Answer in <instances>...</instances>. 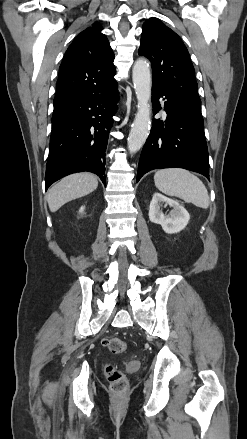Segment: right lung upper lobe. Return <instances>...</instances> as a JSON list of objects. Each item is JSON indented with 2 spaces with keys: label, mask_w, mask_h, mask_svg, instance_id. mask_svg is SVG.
I'll list each match as a JSON object with an SVG mask.
<instances>
[{
  "label": "right lung upper lobe",
  "mask_w": 247,
  "mask_h": 439,
  "mask_svg": "<svg viewBox=\"0 0 247 439\" xmlns=\"http://www.w3.org/2000/svg\"><path fill=\"white\" fill-rule=\"evenodd\" d=\"M102 27L93 24L82 31L67 49L59 69L54 111L101 94L116 84L114 53Z\"/></svg>",
  "instance_id": "obj_1"
}]
</instances>
